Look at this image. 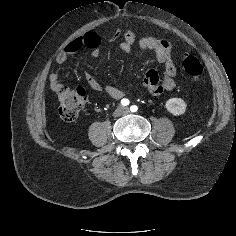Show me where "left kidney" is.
Wrapping results in <instances>:
<instances>
[{
  "label": "left kidney",
  "instance_id": "1",
  "mask_svg": "<svg viewBox=\"0 0 236 236\" xmlns=\"http://www.w3.org/2000/svg\"><path fill=\"white\" fill-rule=\"evenodd\" d=\"M166 109L174 116H180L186 112L187 104L181 98H170L165 103Z\"/></svg>",
  "mask_w": 236,
  "mask_h": 236
}]
</instances>
